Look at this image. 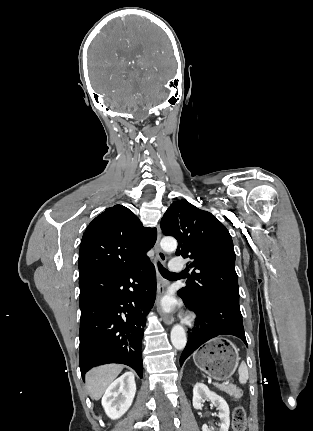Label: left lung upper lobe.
<instances>
[{"instance_id":"obj_1","label":"left lung upper lobe","mask_w":313,"mask_h":431,"mask_svg":"<svg viewBox=\"0 0 313 431\" xmlns=\"http://www.w3.org/2000/svg\"><path fill=\"white\" fill-rule=\"evenodd\" d=\"M165 235L178 240L177 256L190 258L194 268L181 294L192 303L221 299L239 303L233 241L211 213L186 200L173 202L161 220Z\"/></svg>"}]
</instances>
